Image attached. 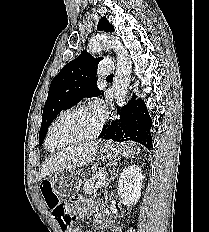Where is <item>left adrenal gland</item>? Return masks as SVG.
I'll return each instance as SVG.
<instances>
[{"instance_id":"left-adrenal-gland-1","label":"left adrenal gland","mask_w":209,"mask_h":232,"mask_svg":"<svg viewBox=\"0 0 209 232\" xmlns=\"http://www.w3.org/2000/svg\"><path fill=\"white\" fill-rule=\"evenodd\" d=\"M116 173L115 172H112L111 173V176H110V178H109V182H108V184L110 183V181H112V179L114 178V175H115ZM108 184H107V186H108ZM107 191H105V195H106V199H107Z\"/></svg>"}]
</instances>
